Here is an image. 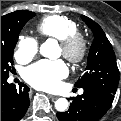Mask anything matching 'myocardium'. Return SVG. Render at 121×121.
Returning a JSON list of instances; mask_svg holds the SVG:
<instances>
[{
    "label": "myocardium",
    "instance_id": "obj_1",
    "mask_svg": "<svg viewBox=\"0 0 121 121\" xmlns=\"http://www.w3.org/2000/svg\"><path fill=\"white\" fill-rule=\"evenodd\" d=\"M63 56L71 63H81L88 52V41L80 32H75L60 40Z\"/></svg>",
    "mask_w": 121,
    "mask_h": 121
}]
</instances>
